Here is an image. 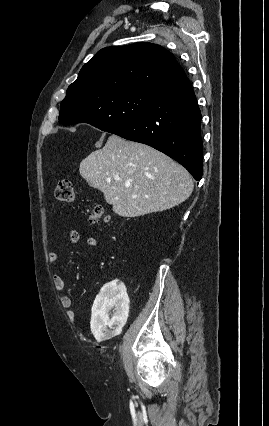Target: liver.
Wrapping results in <instances>:
<instances>
[{"label": "liver", "mask_w": 269, "mask_h": 426, "mask_svg": "<svg viewBox=\"0 0 269 426\" xmlns=\"http://www.w3.org/2000/svg\"><path fill=\"white\" fill-rule=\"evenodd\" d=\"M79 172L122 217L173 208L188 199L194 187L188 171L164 153L114 134L81 161Z\"/></svg>", "instance_id": "6515ba94"}]
</instances>
